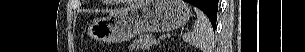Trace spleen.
I'll list each match as a JSON object with an SVG mask.
<instances>
[{
    "mask_svg": "<svg viewBox=\"0 0 305 52\" xmlns=\"http://www.w3.org/2000/svg\"><path fill=\"white\" fill-rule=\"evenodd\" d=\"M197 20L193 31L183 35V40L194 47H198L202 52H212L214 47V37L212 25L208 17L198 8H194Z\"/></svg>",
    "mask_w": 305,
    "mask_h": 52,
    "instance_id": "spleen-1",
    "label": "spleen"
}]
</instances>
